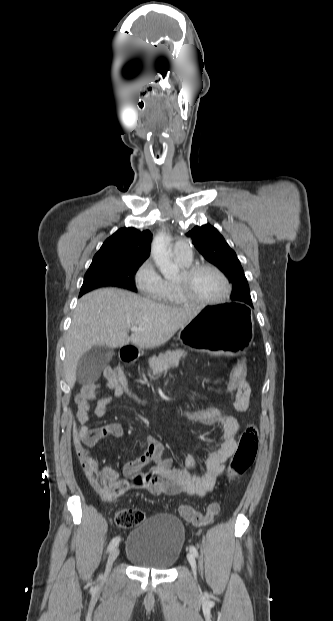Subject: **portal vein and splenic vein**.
I'll list each match as a JSON object with an SVG mask.
<instances>
[{
	"instance_id": "portal-vein-and-splenic-vein-1",
	"label": "portal vein and splenic vein",
	"mask_w": 333,
	"mask_h": 621,
	"mask_svg": "<svg viewBox=\"0 0 333 621\" xmlns=\"http://www.w3.org/2000/svg\"><path fill=\"white\" fill-rule=\"evenodd\" d=\"M130 329H131V331H133V332H136V331H144V330H145L144 328H140V327H137V326H132Z\"/></svg>"
}]
</instances>
